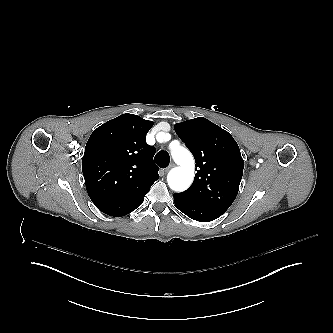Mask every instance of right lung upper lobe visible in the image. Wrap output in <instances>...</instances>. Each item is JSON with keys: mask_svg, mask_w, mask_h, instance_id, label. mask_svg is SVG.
I'll return each mask as SVG.
<instances>
[{"mask_svg": "<svg viewBox=\"0 0 333 333\" xmlns=\"http://www.w3.org/2000/svg\"><path fill=\"white\" fill-rule=\"evenodd\" d=\"M153 122L133 114H123L96 128L82 159V171L94 160L103 159L117 179L159 178L153 161L155 147L146 143Z\"/></svg>", "mask_w": 333, "mask_h": 333, "instance_id": "obj_1", "label": "right lung upper lobe"}]
</instances>
